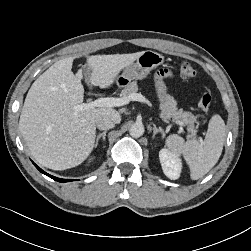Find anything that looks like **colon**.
Wrapping results in <instances>:
<instances>
[{"mask_svg": "<svg viewBox=\"0 0 251 251\" xmlns=\"http://www.w3.org/2000/svg\"><path fill=\"white\" fill-rule=\"evenodd\" d=\"M179 75L184 80H190L195 77L196 70L195 68L188 62H182L179 65ZM211 95L208 93L203 94L198 102L199 107L204 112H209L211 107Z\"/></svg>", "mask_w": 251, "mask_h": 251, "instance_id": "1", "label": "colon"}]
</instances>
